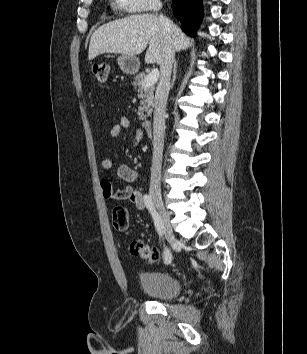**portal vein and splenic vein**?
<instances>
[{
  "mask_svg": "<svg viewBox=\"0 0 307 354\" xmlns=\"http://www.w3.org/2000/svg\"><path fill=\"white\" fill-rule=\"evenodd\" d=\"M159 78V71L158 69H153L151 73H149L146 78L144 79L142 85L144 87H150L153 86Z\"/></svg>",
  "mask_w": 307,
  "mask_h": 354,
  "instance_id": "1",
  "label": "portal vein and splenic vein"
}]
</instances>
